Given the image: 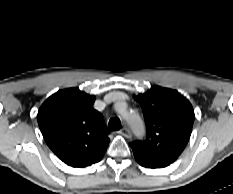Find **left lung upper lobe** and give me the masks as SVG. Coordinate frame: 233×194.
<instances>
[{"label": "left lung upper lobe", "mask_w": 233, "mask_h": 194, "mask_svg": "<svg viewBox=\"0 0 233 194\" xmlns=\"http://www.w3.org/2000/svg\"><path fill=\"white\" fill-rule=\"evenodd\" d=\"M134 99L142 107L147 127L145 140L130 143L134 156L173 163L192 132L194 111L189 101L177 91L159 86Z\"/></svg>", "instance_id": "1"}]
</instances>
